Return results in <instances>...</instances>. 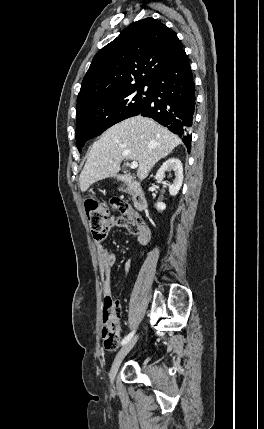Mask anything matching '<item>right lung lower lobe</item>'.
Here are the masks:
<instances>
[{"label":"right lung lower lobe","instance_id":"1","mask_svg":"<svg viewBox=\"0 0 264 429\" xmlns=\"http://www.w3.org/2000/svg\"><path fill=\"white\" fill-rule=\"evenodd\" d=\"M151 85V98L139 114L153 118L178 134L189 151L195 109V84L185 51Z\"/></svg>","mask_w":264,"mask_h":429}]
</instances>
